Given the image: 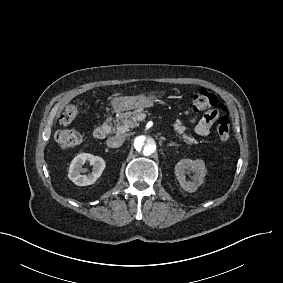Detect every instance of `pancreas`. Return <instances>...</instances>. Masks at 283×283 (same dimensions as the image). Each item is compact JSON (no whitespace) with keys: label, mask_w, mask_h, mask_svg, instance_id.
I'll use <instances>...</instances> for the list:
<instances>
[{"label":"pancreas","mask_w":283,"mask_h":283,"mask_svg":"<svg viewBox=\"0 0 283 283\" xmlns=\"http://www.w3.org/2000/svg\"><path fill=\"white\" fill-rule=\"evenodd\" d=\"M142 110H135L133 112H125L121 113L116 117V120L114 122V126L112 127V131L116 134H124L125 132L129 131L131 128H134L138 126V116ZM174 130L181 136L179 138H182L183 141L189 145L193 143H197V141L191 137L185 134L186 127L182 125L180 120H176V122L173 124Z\"/></svg>","instance_id":"cf45deb5"}]
</instances>
